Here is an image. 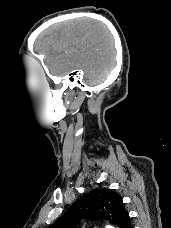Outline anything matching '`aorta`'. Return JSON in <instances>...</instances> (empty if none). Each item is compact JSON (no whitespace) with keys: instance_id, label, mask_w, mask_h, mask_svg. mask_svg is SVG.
<instances>
[{"instance_id":"aorta-1","label":"aorta","mask_w":171,"mask_h":228,"mask_svg":"<svg viewBox=\"0 0 171 228\" xmlns=\"http://www.w3.org/2000/svg\"><path fill=\"white\" fill-rule=\"evenodd\" d=\"M106 228H113L112 226H106Z\"/></svg>"}]
</instances>
